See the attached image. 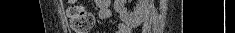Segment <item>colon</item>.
<instances>
[{
  "instance_id": "obj_1",
  "label": "colon",
  "mask_w": 235,
  "mask_h": 33,
  "mask_svg": "<svg viewBox=\"0 0 235 33\" xmlns=\"http://www.w3.org/2000/svg\"><path fill=\"white\" fill-rule=\"evenodd\" d=\"M69 23L75 33H89L93 25V15L83 6L72 5L67 10Z\"/></svg>"
}]
</instances>
